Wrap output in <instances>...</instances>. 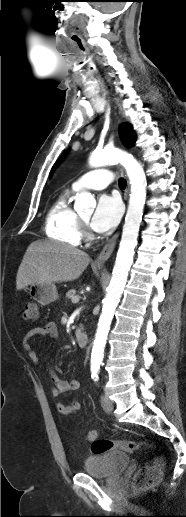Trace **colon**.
<instances>
[{
  "instance_id": "colon-1",
  "label": "colon",
  "mask_w": 186,
  "mask_h": 517,
  "mask_svg": "<svg viewBox=\"0 0 186 517\" xmlns=\"http://www.w3.org/2000/svg\"><path fill=\"white\" fill-rule=\"evenodd\" d=\"M24 320L34 321L39 317L38 304L35 301H27L22 311ZM91 451L95 455L103 454L112 450H121L126 452H134L140 448L148 446L144 441H111L107 439H98L90 434ZM165 460L156 458L151 465L140 469L134 477V485L138 489H148L156 486L162 478Z\"/></svg>"
}]
</instances>
